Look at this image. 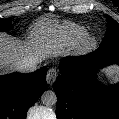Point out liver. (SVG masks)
<instances>
[{"label": "liver", "instance_id": "obj_1", "mask_svg": "<svg viewBox=\"0 0 119 119\" xmlns=\"http://www.w3.org/2000/svg\"><path fill=\"white\" fill-rule=\"evenodd\" d=\"M54 44L46 37L43 25L35 28L26 41L0 33V74L19 71L20 65L31 60L41 62L49 56H56L59 50Z\"/></svg>", "mask_w": 119, "mask_h": 119}]
</instances>
